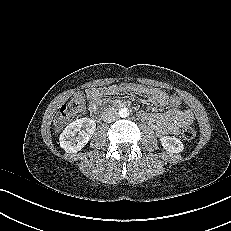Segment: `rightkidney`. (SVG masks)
<instances>
[{
	"mask_svg": "<svg viewBox=\"0 0 231 231\" xmlns=\"http://www.w3.org/2000/svg\"><path fill=\"white\" fill-rule=\"evenodd\" d=\"M95 130L94 120L86 117L76 119L60 134V146L67 153H77L88 143Z\"/></svg>",
	"mask_w": 231,
	"mask_h": 231,
	"instance_id": "right-kidney-1",
	"label": "right kidney"
}]
</instances>
